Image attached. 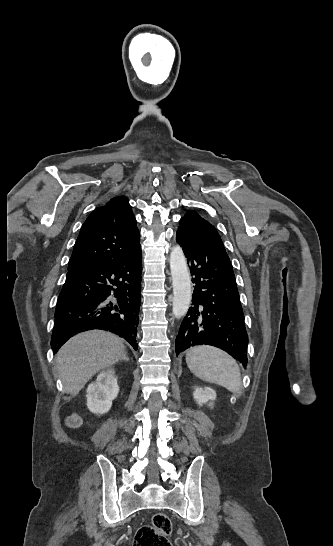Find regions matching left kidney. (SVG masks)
Listing matches in <instances>:
<instances>
[{"instance_id":"obj_1","label":"left kidney","mask_w":333,"mask_h":546,"mask_svg":"<svg viewBox=\"0 0 333 546\" xmlns=\"http://www.w3.org/2000/svg\"><path fill=\"white\" fill-rule=\"evenodd\" d=\"M193 397H194L195 401L197 402V404L199 406H202L203 404L207 403L208 401L215 400L216 392L213 389L209 388V387H205L204 389L196 388L195 392L193 394ZM209 406H212V403H210Z\"/></svg>"}]
</instances>
